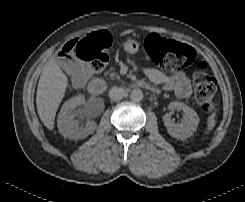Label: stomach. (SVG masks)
I'll use <instances>...</instances> for the list:
<instances>
[{"label":"stomach","instance_id":"1","mask_svg":"<svg viewBox=\"0 0 245 202\" xmlns=\"http://www.w3.org/2000/svg\"><path fill=\"white\" fill-rule=\"evenodd\" d=\"M124 51H126L129 54H135L139 51V43L134 39H128L126 42L122 45Z\"/></svg>","mask_w":245,"mask_h":202}]
</instances>
